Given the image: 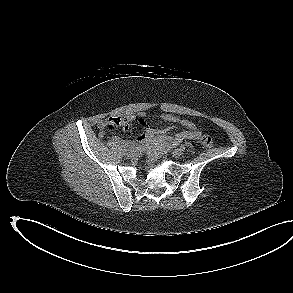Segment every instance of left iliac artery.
<instances>
[{"mask_svg":"<svg viewBox=\"0 0 293 293\" xmlns=\"http://www.w3.org/2000/svg\"><path fill=\"white\" fill-rule=\"evenodd\" d=\"M180 148H181V150H182V151H184V150H185V146H184V145H181V147H180Z\"/></svg>","mask_w":293,"mask_h":293,"instance_id":"left-iliac-artery-1","label":"left iliac artery"}]
</instances>
